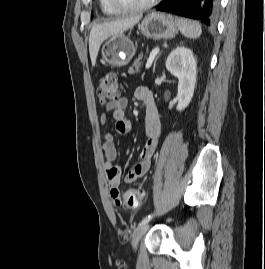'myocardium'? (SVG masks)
Here are the masks:
<instances>
[{
	"instance_id": "myocardium-1",
	"label": "myocardium",
	"mask_w": 265,
	"mask_h": 269,
	"mask_svg": "<svg viewBox=\"0 0 265 269\" xmlns=\"http://www.w3.org/2000/svg\"><path fill=\"white\" fill-rule=\"evenodd\" d=\"M161 0H149L143 4L128 6L122 4L119 0H110L112 6L118 10L119 12L129 13V12H138L147 10L156 4H158Z\"/></svg>"
}]
</instances>
